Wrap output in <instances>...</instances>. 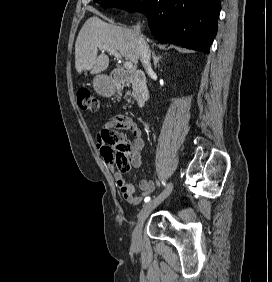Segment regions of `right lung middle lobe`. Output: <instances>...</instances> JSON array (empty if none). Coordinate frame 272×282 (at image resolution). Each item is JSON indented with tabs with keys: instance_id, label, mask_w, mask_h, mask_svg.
Segmentation results:
<instances>
[{
	"instance_id": "right-lung-middle-lobe-1",
	"label": "right lung middle lobe",
	"mask_w": 272,
	"mask_h": 282,
	"mask_svg": "<svg viewBox=\"0 0 272 282\" xmlns=\"http://www.w3.org/2000/svg\"><path fill=\"white\" fill-rule=\"evenodd\" d=\"M94 2H100L103 8L118 7L121 9H129L136 5L139 0H94Z\"/></svg>"
}]
</instances>
